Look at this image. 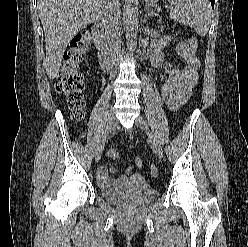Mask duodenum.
Instances as JSON below:
<instances>
[{
    "label": "duodenum",
    "mask_w": 248,
    "mask_h": 247,
    "mask_svg": "<svg viewBox=\"0 0 248 247\" xmlns=\"http://www.w3.org/2000/svg\"><path fill=\"white\" fill-rule=\"evenodd\" d=\"M92 36L99 53V60L104 70H108L111 64V54L107 47L104 35V22L97 21L92 27Z\"/></svg>",
    "instance_id": "obj_1"
}]
</instances>
